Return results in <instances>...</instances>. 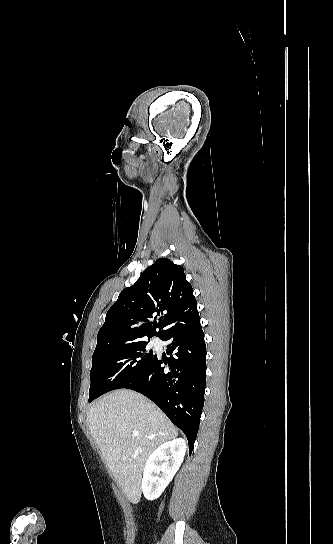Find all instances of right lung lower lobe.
<instances>
[{
	"label": "right lung lower lobe",
	"mask_w": 333,
	"mask_h": 544,
	"mask_svg": "<svg viewBox=\"0 0 333 544\" xmlns=\"http://www.w3.org/2000/svg\"><path fill=\"white\" fill-rule=\"evenodd\" d=\"M170 340L167 361L156 357L143 374L123 388L151 399L186 435L192 452L204 405L206 345L199 313L160 337ZM165 364L169 369L164 370Z\"/></svg>",
	"instance_id": "right-lung-lower-lobe-1"
}]
</instances>
